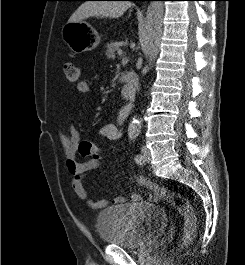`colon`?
<instances>
[{
  "label": "colon",
  "instance_id": "5ec220e1",
  "mask_svg": "<svg viewBox=\"0 0 245 265\" xmlns=\"http://www.w3.org/2000/svg\"><path fill=\"white\" fill-rule=\"evenodd\" d=\"M64 74L67 81L71 84H77L79 80V69L71 62L64 64ZM78 153L81 157H92L97 159L100 154L99 148L92 142L84 140L78 144ZM137 182L155 192L161 199L176 209L183 215L184 230L179 248L187 247L193 240L196 232V216L187 199L179 193L173 192L166 187L159 186L149 179L137 176Z\"/></svg>",
  "mask_w": 245,
  "mask_h": 265
}]
</instances>
